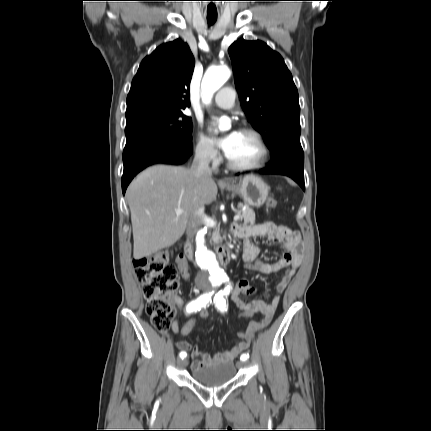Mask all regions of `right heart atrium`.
Segmentation results:
<instances>
[{
	"mask_svg": "<svg viewBox=\"0 0 431 431\" xmlns=\"http://www.w3.org/2000/svg\"><path fill=\"white\" fill-rule=\"evenodd\" d=\"M195 156L204 164L217 162V151L212 142L203 134H199L194 147Z\"/></svg>",
	"mask_w": 431,
	"mask_h": 431,
	"instance_id": "1",
	"label": "right heart atrium"
}]
</instances>
